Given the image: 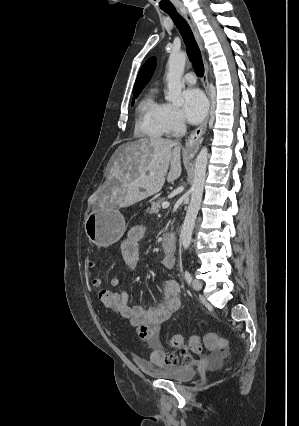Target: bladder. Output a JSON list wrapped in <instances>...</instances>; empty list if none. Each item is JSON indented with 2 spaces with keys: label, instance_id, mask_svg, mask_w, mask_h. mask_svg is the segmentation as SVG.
Returning <instances> with one entry per match:
<instances>
[{
  "label": "bladder",
  "instance_id": "obj_1",
  "mask_svg": "<svg viewBox=\"0 0 299 426\" xmlns=\"http://www.w3.org/2000/svg\"><path fill=\"white\" fill-rule=\"evenodd\" d=\"M141 366L144 372L151 377L180 384L190 382L196 375V370L190 366H163L156 368L144 363H141Z\"/></svg>",
  "mask_w": 299,
  "mask_h": 426
}]
</instances>
